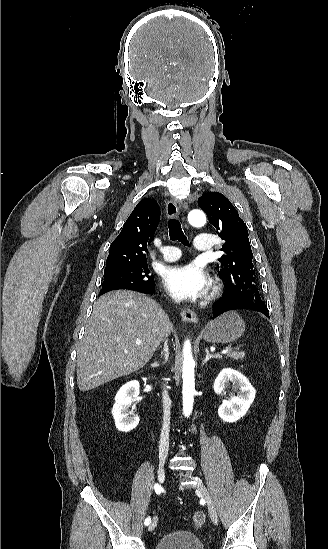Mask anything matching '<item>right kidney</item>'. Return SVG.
I'll return each instance as SVG.
<instances>
[{
    "label": "right kidney",
    "instance_id": "right-kidney-1",
    "mask_svg": "<svg viewBox=\"0 0 328 549\" xmlns=\"http://www.w3.org/2000/svg\"><path fill=\"white\" fill-rule=\"evenodd\" d=\"M139 395L138 381H129L119 389L115 397V405L112 409V415L115 419V425L118 431L128 433L133 431L139 423V417L134 415L135 405H133L136 397ZM131 407V409H129ZM132 415V417H129Z\"/></svg>",
    "mask_w": 328,
    "mask_h": 549
}]
</instances>
